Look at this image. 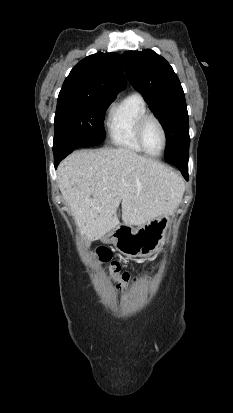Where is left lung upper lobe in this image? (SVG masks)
<instances>
[{
	"instance_id": "left-lung-upper-lobe-1",
	"label": "left lung upper lobe",
	"mask_w": 233,
	"mask_h": 413,
	"mask_svg": "<svg viewBox=\"0 0 233 413\" xmlns=\"http://www.w3.org/2000/svg\"><path fill=\"white\" fill-rule=\"evenodd\" d=\"M129 81L148 102L163 125L168 163L188 162L189 127L184 92L169 63L154 51H127L123 54Z\"/></svg>"
}]
</instances>
